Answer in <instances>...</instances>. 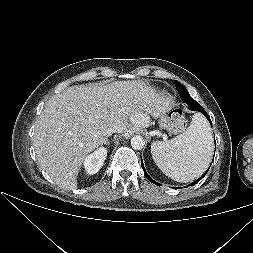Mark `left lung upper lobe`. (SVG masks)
I'll list each match as a JSON object with an SVG mask.
<instances>
[{
  "label": "left lung upper lobe",
  "instance_id": "1",
  "mask_svg": "<svg viewBox=\"0 0 253 253\" xmlns=\"http://www.w3.org/2000/svg\"><path fill=\"white\" fill-rule=\"evenodd\" d=\"M174 84L176 86V89L181 97V99L188 104V107L190 109V107L194 106L196 101L190 96V94L188 93V91L186 90V88L179 83L178 81H174Z\"/></svg>",
  "mask_w": 253,
  "mask_h": 253
}]
</instances>
